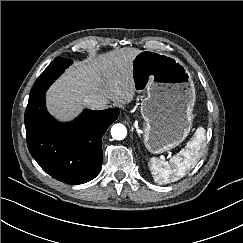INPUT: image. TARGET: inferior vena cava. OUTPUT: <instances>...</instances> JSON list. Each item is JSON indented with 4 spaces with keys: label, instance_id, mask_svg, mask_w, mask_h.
Instances as JSON below:
<instances>
[{
    "label": "inferior vena cava",
    "instance_id": "1",
    "mask_svg": "<svg viewBox=\"0 0 243 243\" xmlns=\"http://www.w3.org/2000/svg\"><path fill=\"white\" fill-rule=\"evenodd\" d=\"M85 105L93 110H100L107 106L109 101L106 97H104L101 94L93 93L89 96H87L84 100Z\"/></svg>",
    "mask_w": 243,
    "mask_h": 243
}]
</instances>
